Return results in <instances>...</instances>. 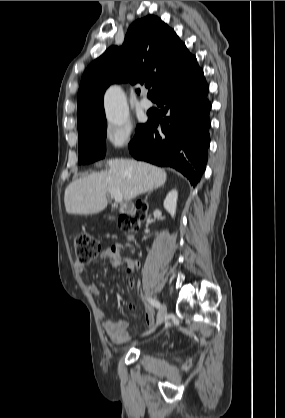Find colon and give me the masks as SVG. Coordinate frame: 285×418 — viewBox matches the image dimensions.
Segmentation results:
<instances>
[{"instance_id": "obj_1", "label": "colon", "mask_w": 285, "mask_h": 418, "mask_svg": "<svg viewBox=\"0 0 285 418\" xmlns=\"http://www.w3.org/2000/svg\"><path fill=\"white\" fill-rule=\"evenodd\" d=\"M144 218L145 208L138 207L134 214L124 215L120 218L119 227L125 231L137 230ZM73 242L77 260L81 263L89 262L99 251L97 239L89 232L77 234Z\"/></svg>"}]
</instances>
